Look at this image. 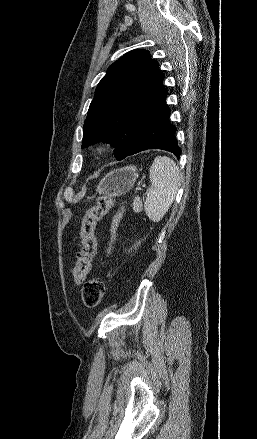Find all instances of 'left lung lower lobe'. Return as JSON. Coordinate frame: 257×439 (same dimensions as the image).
Here are the masks:
<instances>
[{
  "label": "left lung lower lobe",
  "instance_id": "obj_1",
  "mask_svg": "<svg viewBox=\"0 0 257 439\" xmlns=\"http://www.w3.org/2000/svg\"><path fill=\"white\" fill-rule=\"evenodd\" d=\"M166 96L167 92L145 118L137 141L127 156L144 150L161 149L173 153L177 158L180 157L181 149L175 136L176 128L169 122L170 109L165 103Z\"/></svg>",
  "mask_w": 257,
  "mask_h": 439
}]
</instances>
